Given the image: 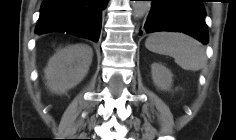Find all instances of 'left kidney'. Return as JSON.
I'll return each instance as SVG.
<instances>
[{"label":"left kidney","mask_w":236,"mask_h":140,"mask_svg":"<svg viewBox=\"0 0 236 140\" xmlns=\"http://www.w3.org/2000/svg\"><path fill=\"white\" fill-rule=\"evenodd\" d=\"M151 74L154 84L161 90H169L172 86L173 75L169 69L159 63H153Z\"/></svg>","instance_id":"obj_1"}]
</instances>
